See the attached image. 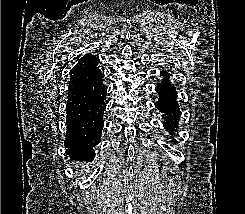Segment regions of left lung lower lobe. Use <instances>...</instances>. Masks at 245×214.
Segmentation results:
<instances>
[{
    "label": "left lung lower lobe",
    "instance_id": "left-lung-lower-lobe-1",
    "mask_svg": "<svg viewBox=\"0 0 245 214\" xmlns=\"http://www.w3.org/2000/svg\"><path fill=\"white\" fill-rule=\"evenodd\" d=\"M161 75L165 78L162 83L159 84L155 90L158 92L160 99L155 103L156 108L163 113L165 119V129L174 134L172 126L177 125V121L180 119V108L176 102L177 93L175 87L170 83V74L162 71Z\"/></svg>",
    "mask_w": 245,
    "mask_h": 214
}]
</instances>
